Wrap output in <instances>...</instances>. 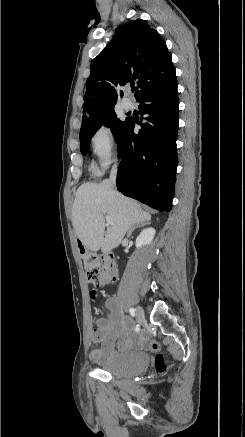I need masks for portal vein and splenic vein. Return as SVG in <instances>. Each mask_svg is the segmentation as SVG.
Returning a JSON list of instances; mask_svg holds the SVG:
<instances>
[{"label": "portal vein and splenic vein", "mask_w": 245, "mask_h": 437, "mask_svg": "<svg viewBox=\"0 0 245 437\" xmlns=\"http://www.w3.org/2000/svg\"><path fill=\"white\" fill-rule=\"evenodd\" d=\"M106 221H107V224H109V225H112V224H113V221H112V219L110 218V216H106Z\"/></svg>", "instance_id": "portal-vein-and-splenic-vein-1"}]
</instances>
